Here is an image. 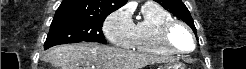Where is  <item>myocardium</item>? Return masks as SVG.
Masks as SVG:
<instances>
[{"label": "myocardium", "mask_w": 246, "mask_h": 69, "mask_svg": "<svg viewBox=\"0 0 246 69\" xmlns=\"http://www.w3.org/2000/svg\"><path fill=\"white\" fill-rule=\"evenodd\" d=\"M177 27L182 28L188 33L190 37V43L192 46H194V36H193L191 29L185 23L175 20V19L171 21H167L166 23L162 25L160 32H159L160 42L164 46H166L168 49H170L173 53H176V54L189 53L188 51H183L179 49L176 45H174V43L170 39L171 32Z\"/></svg>", "instance_id": "1"}]
</instances>
